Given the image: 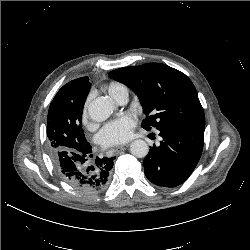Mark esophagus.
Returning <instances> with one entry per match:
<instances>
[{
  "instance_id": "obj_1",
  "label": "esophagus",
  "mask_w": 250,
  "mask_h": 250,
  "mask_svg": "<svg viewBox=\"0 0 250 250\" xmlns=\"http://www.w3.org/2000/svg\"><path fill=\"white\" fill-rule=\"evenodd\" d=\"M128 146H129V144H124V145L115 147L113 150H114V152L118 153L122 150H125Z\"/></svg>"
}]
</instances>
